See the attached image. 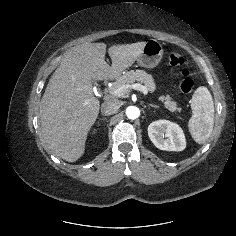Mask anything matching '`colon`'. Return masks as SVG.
<instances>
[{
  "label": "colon",
  "mask_w": 236,
  "mask_h": 236,
  "mask_svg": "<svg viewBox=\"0 0 236 236\" xmlns=\"http://www.w3.org/2000/svg\"><path fill=\"white\" fill-rule=\"evenodd\" d=\"M169 63L172 66L181 67L178 72L179 89L182 93L188 94L193 90L194 82L187 68L183 67L185 59L177 51H171L168 55Z\"/></svg>",
  "instance_id": "obj_1"
}]
</instances>
